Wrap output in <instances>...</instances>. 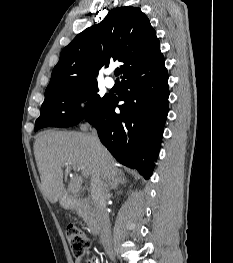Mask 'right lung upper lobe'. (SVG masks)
Wrapping results in <instances>:
<instances>
[{
  "mask_svg": "<svg viewBox=\"0 0 233 263\" xmlns=\"http://www.w3.org/2000/svg\"><path fill=\"white\" fill-rule=\"evenodd\" d=\"M110 60L122 62V80L164 64L156 32L138 7L111 10L66 46L54 67L45 97L97 84L98 70Z\"/></svg>",
  "mask_w": 233,
  "mask_h": 263,
  "instance_id": "1",
  "label": "right lung upper lobe"
}]
</instances>
